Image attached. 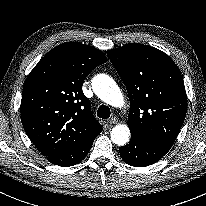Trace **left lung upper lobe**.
<instances>
[{
	"mask_svg": "<svg viewBox=\"0 0 206 206\" xmlns=\"http://www.w3.org/2000/svg\"><path fill=\"white\" fill-rule=\"evenodd\" d=\"M107 55L128 91L131 136L172 146L187 112L177 65L164 52L137 43L109 50Z\"/></svg>",
	"mask_w": 206,
	"mask_h": 206,
	"instance_id": "left-lung-upper-lobe-1",
	"label": "left lung upper lobe"
}]
</instances>
